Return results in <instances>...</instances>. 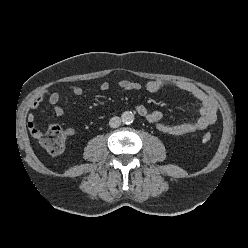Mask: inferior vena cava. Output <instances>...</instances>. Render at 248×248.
<instances>
[{"label": "inferior vena cava", "instance_id": "obj_1", "mask_svg": "<svg viewBox=\"0 0 248 248\" xmlns=\"http://www.w3.org/2000/svg\"><path fill=\"white\" fill-rule=\"evenodd\" d=\"M109 125L111 128H117L121 125V119L117 116L112 117L109 121Z\"/></svg>", "mask_w": 248, "mask_h": 248}]
</instances>
